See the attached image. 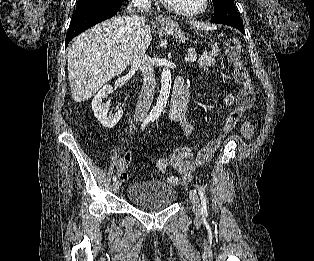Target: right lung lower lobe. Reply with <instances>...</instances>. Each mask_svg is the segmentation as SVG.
<instances>
[{"mask_svg":"<svg viewBox=\"0 0 314 261\" xmlns=\"http://www.w3.org/2000/svg\"><path fill=\"white\" fill-rule=\"evenodd\" d=\"M125 1L127 0H105L76 10L67 31L65 46L81 32L114 16Z\"/></svg>","mask_w":314,"mask_h":261,"instance_id":"1","label":"right lung lower lobe"}]
</instances>
